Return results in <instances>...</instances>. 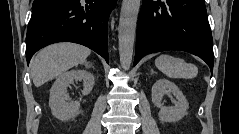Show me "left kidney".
<instances>
[{
    "mask_svg": "<svg viewBox=\"0 0 239 134\" xmlns=\"http://www.w3.org/2000/svg\"><path fill=\"white\" fill-rule=\"evenodd\" d=\"M165 94H173L176 97L175 106L166 107L163 105L162 98ZM152 102L160 108L158 116L163 122L179 121L187 114L189 108V104L180 89L167 79H159L152 86Z\"/></svg>",
    "mask_w": 239,
    "mask_h": 134,
    "instance_id": "obj_1",
    "label": "left kidney"
}]
</instances>
